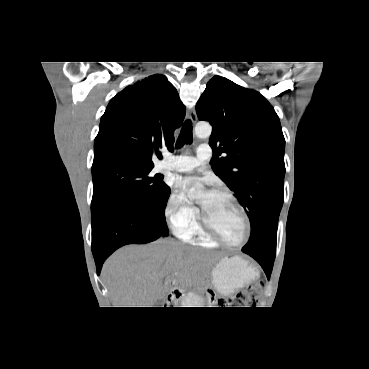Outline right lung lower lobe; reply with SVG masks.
I'll use <instances>...</instances> for the list:
<instances>
[{
    "label": "right lung lower lobe",
    "mask_w": 369,
    "mask_h": 369,
    "mask_svg": "<svg viewBox=\"0 0 369 369\" xmlns=\"http://www.w3.org/2000/svg\"><path fill=\"white\" fill-rule=\"evenodd\" d=\"M167 235L168 230H161L151 209L125 199L105 203L92 216V252L97 273L119 247L144 244Z\"/></svg>",
    "instance_id": "right-lung-lower-lobe-1"
}]
</instances>
